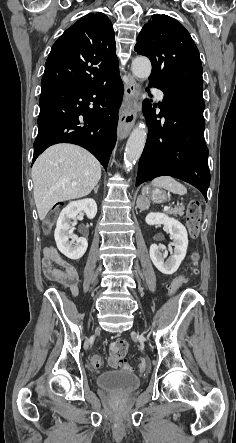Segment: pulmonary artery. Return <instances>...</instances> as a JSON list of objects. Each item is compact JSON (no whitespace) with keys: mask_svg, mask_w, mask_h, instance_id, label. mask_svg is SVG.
I'll list each match as a JSON object with an SVG mask.
<instances>
[{"mask_svg":"<svg viewBox=\"0 0 236 443\" xmlns=\"http://www.w3.org/2000/svg\"><path fill=\"white\" fill-rule=\"evenodd\" d=\"M156 96H157L158 100H160V101L163 100V93L162 92H157Z\"/></svg>","mask_w":236,"mask_h":443,"instance_id":"1","label":"pulmonary artery"}]
</instances>
